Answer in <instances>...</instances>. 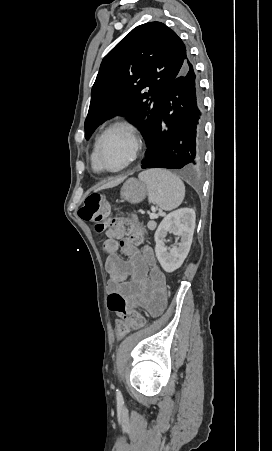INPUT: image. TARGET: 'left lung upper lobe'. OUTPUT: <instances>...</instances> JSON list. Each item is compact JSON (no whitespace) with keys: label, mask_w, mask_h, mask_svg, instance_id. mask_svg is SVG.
I'll return each mask as SVG.
<instances>
[{"label":"left lung upper lobe","mask_w":272,"mask_h":451,"mask_svg":"<svg viewBox=\"0 0 272 451\" xmlns=\"http://www.w3.org/2000/svg\"><path fill=\"white\" fill-rule=\"evenodd\" d=\"M187 52L176 33L160 22L135 27L103 59L91 91L85 138L107 119L124 115L151 140L161 103L182 71Z\"/></svg>","instance_id":"obj_1"}]
</instances>
